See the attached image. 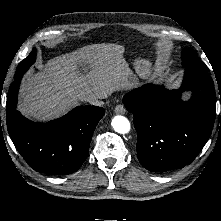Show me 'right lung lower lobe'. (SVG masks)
I'll return each instance as SVG.
<instances>
[{
	"instance_id": "98d812e1",
	"label": "right lung lower lobe",
	"mask_w": 221,
	"mask_h": 221,
	"mask_svg": "<svg viewBox=\"0 0 221 221\" xmlns=\"http://www.w3.org/2000/svg\"><path fill=\"white\" fill-rule=\"evenodd\" d=\"M21 78L11 84L6 102L7 128L18 152L37 172L67 175L77 171L88 156L93 132L105 110L79 106L57 120L34 123L16 110Z\"/></svg>"
}]
</instances>
